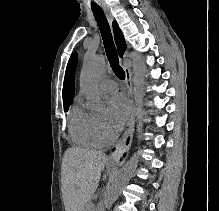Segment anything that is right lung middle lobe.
<instances>
[{
    "label": "right lung middle lobe",
    "mask_w": 219,
    "mask_h": 211,
    "mask_svg": "<svg viewBox=\"0 0 219 211\" xmlns=\"http://www.w3.org/2000/svg\"><path fill=\"white\" fill-rule=\"evenodd\" d=\"M70 105H65L64 110L67 111Z\"/></svg>",
    "instance_id": "right-lung-middle-lobe-1"
}]
</instances>
